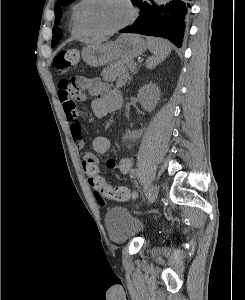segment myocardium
Here are the masks:
<instances>
[{
	"instance_id": "myocardium-1",
	"label": "myocardium",
	"mask_w": 245,
	"mask_h": 300,
	"mask_svg": "<svg viewBox=\"0 0 245 300\" xmlns=\"http://www.w3.org/2000/svg\"><path fill=\"white\" fill-rule=\"evenodd\" d=\"M82 4L80 5L78 12H77V22L79 24V26L81 27V29L84 31V33L86 35H90V36H109L112 35L114 33L119 32L120 30L124 29L125 27H127L128 25H130L135 17H136V8L132 2V0H123V2L126 4V6L128 7L129 10V15L128 18L120 25L109 29V30H105V31H91L89 30L83 20V12L84 9L86 8V6L92 1V0H82Z\"/></svg>"
}]
</instances>
